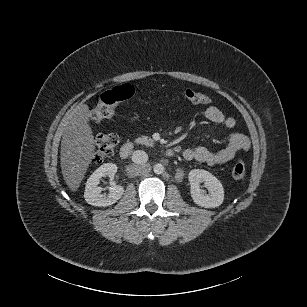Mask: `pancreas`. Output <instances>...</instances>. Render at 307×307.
Here are the masks:
<instances>
[{
  "instance_id": "pancreas-1",
  "label": "pancreas",
  "mask_w": 307,
  "mask_h": 307,
  "mask_svg": "<svg viewBox=\"0 0 307 307\" xmlns=\"http://www.w3.org/2000/svg\"><path fill=\"white\" fill-rule=\"evenodd\" d=\"M136 142L139 144H144L148 147H154L156 144L153 139L149 136L141 135L136 139Z\"/></svg>"
}]
</instances>
